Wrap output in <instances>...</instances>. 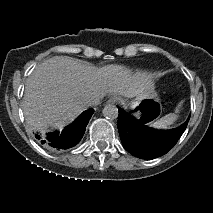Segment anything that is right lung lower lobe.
I'll return each instance as SVG.
<instances>
[{
	"label": "right lung lower lobe",
	"instance_id": "1",
	"mask_svg": "<svg viewBox=\"0 0 213 213\" xmlns=\"http://www.w3.org/2000/svg\"><path fill=\"white\" fill-rule=\"evenodd\" d=\"M94 110L83 112L69 127L61 133L55 132L47 135V142L55 148H70L76 145L82 138L85 127L89 122Z\"/></svg>",
	"mask_w": 213,
	"mask_h": 213
}]
</instances>
